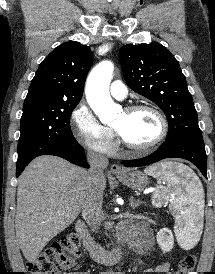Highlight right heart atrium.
Wrapping results in <instances>:
<instances>
[{"mask_svg":"<svg viewBox=\"0 0 215 274\" xmlns=\"http://www.w3.org/2000/svg\"><path fill=\"white\" fill-rule=\"evenodd\" d=\"M71 129L75 139L90 151L111 154L116 147L112 129L102 125L84 102L71 114Z\"/></svg>","mask_w":215,"mask_h":274,"instance_id":"d8ad5b80","label":"right heart atrium"}]
</instances>
